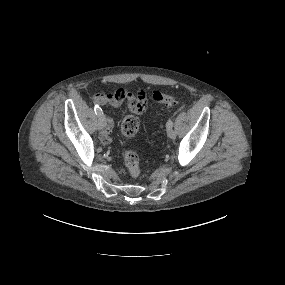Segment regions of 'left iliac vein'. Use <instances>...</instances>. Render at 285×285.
I'll return each instance as SVG.
<instances>
[{
	"label": "left iliac vein",
	"mask_w": 285,
	"mask_h": 285,
	"mask_svg": "<svg viewBox=\"0 0 285 285\" xmlns=\"http://www.w3.org/2000/svg\"><path fill=\"white\" fill-rule=\"evenodd\" d=\"M167 134L169 138L175 139L176 138V132L170 127L167 129Z\"/></svg>",
	"instance_id": "obj_1"
}]
</instances>
